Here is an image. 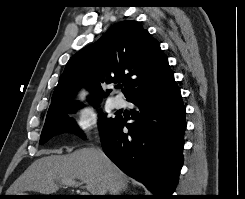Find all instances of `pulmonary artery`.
I'll list each match as a JSON object with an SVG mask.
<instances>
[{
	"label": "pulmonary artery",
	"mask_w": 245,
	"mask_h": 199,
	"mask_svg": "<svg viewBox=\"0 0 245 199\" xmlns=\"http://www.w3.org/2000/svg\"><path fill=\"white\" fill-rule=\"evenodd\" d=\"M124 100L120 96H114L112 99V105L115 109H121L124 107Z\"/></svg>",
	"instance_id": "e3ab8cb5"
}]
</instances>
